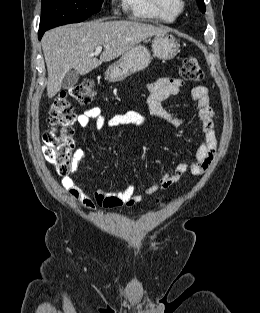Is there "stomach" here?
<instances>
[{"label": "stomach", "instance_id": "obj_1", "mask_svg": "<svg viewBox=\"0 0 260 313\" xmlns=\"http://www.w3.org/2000/svg\"><path fill=\"white\" fill-rule=\"evenodd\" d=\"M177 39L168 33L157 34L152 40V52L159 59H172L180 52ZM151 61L150 51L143 45H136L111 64L105 72L109 82H118L129 75L145 69Z\"/></svg>", "mask_w": 260, "mask_h": 313}]
</instances>
